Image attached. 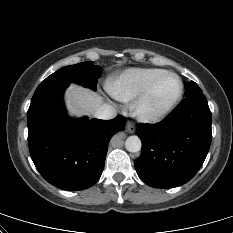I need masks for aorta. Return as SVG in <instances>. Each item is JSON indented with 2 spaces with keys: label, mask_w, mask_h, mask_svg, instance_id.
<instances>
[{
  "label": "aorta",
  "mask_w": 233,
  "mask_h": 233,
  "mask_svg": "<svg viewBox=\"0 0 233 233\" xmlns=\"http://www.w3.org/2000/svg\"><path fill=\"white\" fill-rule=\"evenodd\" d=\"M142 143L138 136H129L125 141V148L127 151L135 153L141 150Z\"/></svg>",
  "instance_id": "aorta-1"
}]
</instances>
